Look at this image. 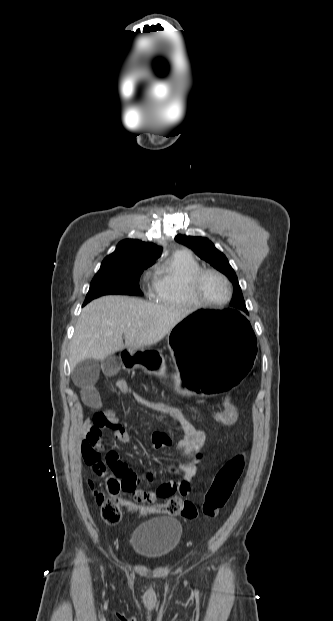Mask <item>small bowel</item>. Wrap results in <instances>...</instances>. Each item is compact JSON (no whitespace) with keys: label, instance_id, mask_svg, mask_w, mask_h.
<instances>
[{"label":"small bowel","instance_id":"1","mask_svg":"<svg viewBox=\"0 0 333 621\" xmlns=\"http://www.w3.org/2000/svg\"><path fill=\"white\" fill-rule=\"evenodd\" d=\"M104 367L106 370L112 371L115 367V361L112 359L107 360ZM116 388L122 394H130L125 380L117 381ZM80 397L86 406L100 409V396L94 386L85 384L80 389ZM173 420L184 434L183 439L177 445V450L182 455L184 461L178 467H175L172 463H159L144 475V479L150 481L155 473H178L182 478L178 480L168 479L154 490L139 488L137 483L135 489L130 491L135 503L154 504L159 499H166L176 495L187 496L191 492V482L196 476L204 457L203 450L206 436L200 427L183 417L173 418ZM104 430H112L118 442L127 443L130 441V436L126 429L110 412L98 411L92 418H86L82 428L81 454L85 463L91 466L94 471L99 468L101 463H104L102 460V453L104 451L102 433ZM171 443V437L167 433L156 432L152 436V445L155 449L169 447ZM105 463L112 468L128 467L115 451H110L106 454ZM125 503L128 506L133 505V502L128 501Z\"/></svg>","mask_w":333,"mask_h":621}]
</instances>
